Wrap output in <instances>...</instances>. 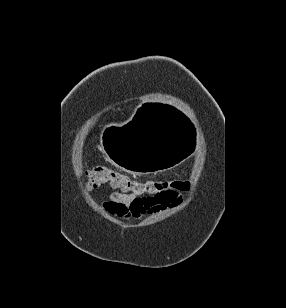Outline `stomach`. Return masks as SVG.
<instances>
[{
    "label": "stomach",
    "mask_w": 286,
    "mask_h": 308,
    "mask_svg": "<svg viewBox=\"0 0 286 308\" xmlns=\"http://www.w3.org/2000/svg\"><path fill=\"white\" fill-rule=\"evenodd\" d=\"M136 118L101 122L103 154L116 167L134 173H173L181 159L200 149L193 142L197 125L187 112L159 107V100H140Z\"/></svg>",
    "instance_id": "obj_1"
}]
</instances>
